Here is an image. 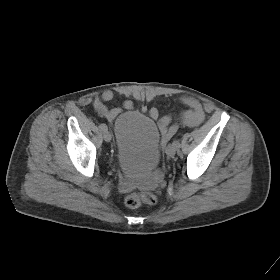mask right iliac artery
Listing matches in <instances>:
<instances>
[{"label": "right iliac artery", "mask_w": 280, "mask_h": 280, "mask_svg": "<svg viewBox=\"0 0 280 280\" xmlns=\"http://www.w3.org/2000/svg\"><path fill=\"white\" fill-rule=\"evenodd\" d=\"M99 128L101 131H106L107 130V126L105 124H100Z\"/></svg>", "instance_id": "right-iliac-artery-1"}]
</instances>
